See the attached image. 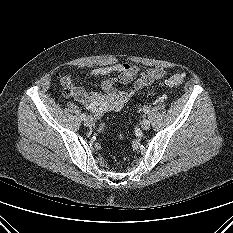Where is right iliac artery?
Returning <instances> with one entry per match:
<instances>
[{
    "label": "right iliac artery",
    "mask_w": 233,
    "mask_h": 233,
    "mask_svg": "<svg viewBox=\"0 0 233 233\" xmlns=\"http://www.w3.org/2000/svg\"><path fill=\"white\" fill-rule=\"evenodd\" d=\"M80 117H81L82 120H85V119H86V115H85L84 113H82V114L80 115Z\"/></svg>",
    "instance_id": "obj_1"
}]
</instances>
